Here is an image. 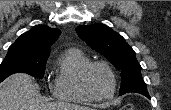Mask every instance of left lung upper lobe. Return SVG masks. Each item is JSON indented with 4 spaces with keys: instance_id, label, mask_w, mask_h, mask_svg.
Instances as JSON below:
<instances>
[{
    "instance_id": "obj_1",
    "label": "left lung upper lobe",
    "mask_w": 171,
    "mask_h": 110,
    "mask_svg": "<svg viewBox=\"0 0 171 110\" xmlns=\"http://www.w3.org/2000/svg\"><path fill=\"white\" fill-rule=\"evenodd\" d=\"M76 32L90 48L104 55L121 71L120 95L136 92L149 97L135 52L120 34L104 24L81 25Z\"/></svg>"
}]
</instances>
